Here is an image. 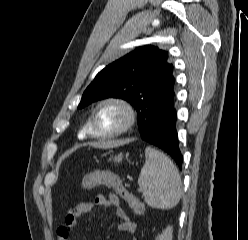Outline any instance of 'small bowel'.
<instances>
[{"instance_id": "1", "label": "small bowel", "mask_w": 248, "mask_h": 240, "mask_svg": "<svg viewBox=\"0 0 248 240\" xmlns=\"http://www.w3.org/2000/svg\"><path fill=\"white\" fill-rule=\"evenodd\" d=\"M95 206L113 207L117 217L120 219L118 230L133 237L136 232V223L129 218L125 210L122 208L119 198L113 194L108 196L100 194L96 196L94 203L82 202L67 212L64 223L57 230L58 240H69L77 224L78 218L91 213ZM132 240L136 239L133 237Z\"/></svg>"}]
</instances>
